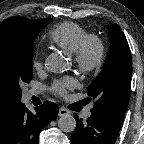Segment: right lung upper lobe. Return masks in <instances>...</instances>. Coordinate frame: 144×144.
Wrapping results in <instances>:
<instances>
[{
	"mask_svg": "<svg viewBox=\"0 0 144 144\" xmlns=\"http://www.w3.org/2000/svg\"><path fill=\"white\" fill-rule=\"evenodd\" d=\"M46 19L30 20L23 17H11L0 24V44L7 41L14 31L21 27H31L44 23ZM21 102L0 77V125L9 118Z\"/></svg>",
	"mask_w": 144,
	"mask_h": 144,
	"instance_id": "right-lung-upper-lobe-1",
	"label": "right lung upper lobe"
}]
</instances>
